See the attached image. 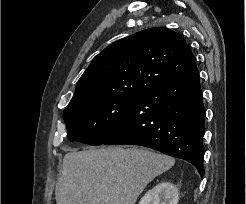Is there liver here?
I'll return each mask as SVG.
<instances>
[{"mask_svg":"<svg viewBox=\"0 0 246 204\" xmlns=\"http://www.w3.org/2000/svg\"><path fill=\"white\" fill-rule=\"evenodd\" d=\"M175 159L147 149L120 146L72 151L63 158L57 204H135L156 176Z\"/></svg>","mask_w":246,"mask_h":204,"instance_id":"1","label":"liver"}]
</instances>
